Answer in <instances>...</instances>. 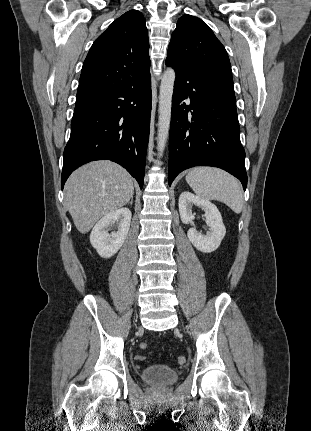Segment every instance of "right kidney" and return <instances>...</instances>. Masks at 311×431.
<instances>
[{"label":"right kidney","mask_w":311,"mask_h":431,"mask_svg":"<svg viewBox=\"0 0 311 431\" xmlns=\"http://www.w3.org/2000/svg\"><path fill=\"white\" fill-rule=\"evenodd\" d=\"M132 214L128 208H120L101 217L90 233V241L101 257H111L123 245L129 231ZM117 223L118 231H110Z\"/></svg>","instance_id":"1"}]
</instances>
